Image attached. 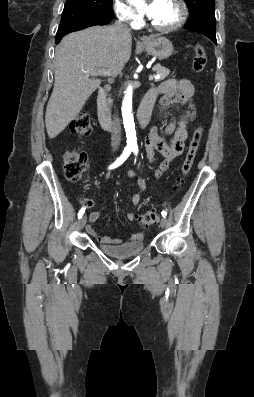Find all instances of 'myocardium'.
<instances>
[{"mask_svg": "<svg viewBox=\"0 0 254 397\" xmlns=\"http://www.w3.org/2000/svg\"><path fill=\"white\" fill-rule=\"evenodd\" d=\"M176 5L178 6L179 10H180V15L178 20L171 24V25H167V26H160L155 24L152 20L149 21L150 26L160 32H171L174 30H177L178 28H180L186 21L187 16H188V10H187V6L186 4L182 1V0H173Z\"/></svg>", "mask_w": 254, "mask_h": 397, "instance_id": "obj_1", "label": "myocardium"}]
</instances>
